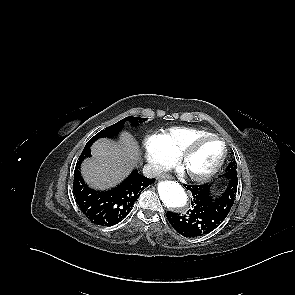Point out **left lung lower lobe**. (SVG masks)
I'll return each mask as SVG.
<instances>
[{"label":"left lung lower lobe","mask_w":295,"mask_h":295,"mask_svg":"<svg viewBox=\"0 0 295 295\" xmlns=\"http://www.w3.org/2000/svg\"><path fill=\"white\" fill-rule=\"evenodd\" d=\"M227 187L219 196L210 193L211 184L184 185L192 193V209L186 215L167 212V219L174 229L185 237H198L217 228L229 214L237 193L236 173L223 175Z\"/></svg>","instance_id":"0a47b994"}]
</instances>
